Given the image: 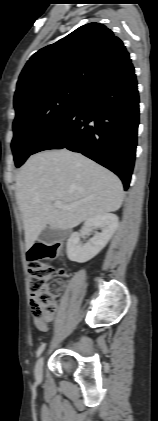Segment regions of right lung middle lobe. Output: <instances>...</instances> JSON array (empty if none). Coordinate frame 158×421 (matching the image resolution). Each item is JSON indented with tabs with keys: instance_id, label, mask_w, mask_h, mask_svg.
I'll return each mask as SVG.
<instances>
[{
	"instance_id": "right-lung-middle-lobe-1",
	"label": "right lung middle lobe",
	"mask_w": 158,
	"mask_h": 421,
	"mask_svg": "<svg viewBox=\"0 0 158 421\" xmlns=\"http://www.w3.org/2000/svg\"><path fill=\"white\" fill-rule=\"evenodd\" d=\"M84 86H65L44 90L14 104V137L11 148L16 167L33 154L38 144L64 118L76 103Z\"/></svg>"
}]
</instances>
